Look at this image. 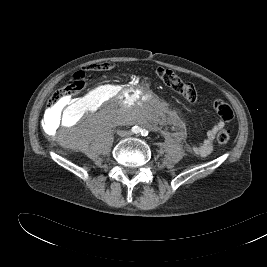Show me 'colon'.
Listing matches in <instances>:
<instances>
[{
    "label": "colon",
    "mask_w": 267,
    "mask_h": 267,
    "mask_svg": "<svg viewBox=\"0 0 267 267\" xmlns=\"http://www.w3.org/2000/svg\"><path fill=\"white\" fill-rule=\"evenodd\" d=\"M113 67V63H103L94 65V69L108 70ZM156 76L167 87L174 90L180 96H182L188 102H195L197 100V90L193 84L183 81L172 70L167 68H158L156 70ZM85 84L84 72H78L74 74L69 82L58 89L50 98L49 106L54 108L62 104L65 100L70 99L79 90L83 88ZM213 108L216 114L223 121H230L234 117L232 107L224 100L217 99L213 103ZM230 139L229 131L223 129L218 132L216 140L219 145H225Z\"/></svg>",
    "instance_id": "colon-1"
}]
</instances>
